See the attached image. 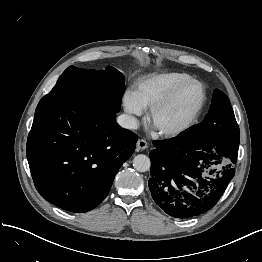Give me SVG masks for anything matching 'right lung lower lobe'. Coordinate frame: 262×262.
Returning a JSON list of instances; mask_svg holds the SVG:
<instances>
[{
	"label": "right lung lower lobe",
	"instance_id": "1",
	"mask_svg": "<svg viewBox=\"0 0 262 262\" xmlns=\"http://www.w3.org/2000/svg\"><path fill=\"white\" fill-rule=\"evenodd\" d=\"M137 136L116 115L89 99L43 97L27 140L36 189L50 203L87 212L108 195L114 177L135 150Z\"/></svg>",
	"mask_w": 262,
	"mask_h": 262
}]
</instances>
